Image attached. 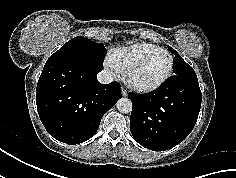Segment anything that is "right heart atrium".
Returning a JSON list of instances; mask_svg holds the SVG:
<instances>
[{"label":"right heart atrium","instance_id":"right-heart-atrium-1","mask_svg":"<svg viewBox=\"0 0 236 178\" xmlns=\"http://www.w3.org/2000/svg\"><path fill=\"white\" fill-rule=\"evenodd\" d=\"M106 66L110 69V70H112V71H115L116 69L114 68V66L108 61L107 63H106Z\"/></svg>","mask_w":236,"mask_h":178}]
</instances>
